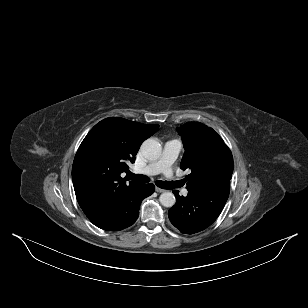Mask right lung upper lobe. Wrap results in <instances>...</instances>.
Listing matches in <instances>:
<instances>
[{
	"instance_id": "obj_1",
	"label": "right lung upper lobe",
	"mask_w": 308,
	"mask_h": 308,
	"mask_svg": "<svg viewBox=\"0 0 308 308\" xmlns=\"http://www.w3.org/2000/svg\"><path fill=\"white\" fill-rule=\"evenodd\" d=\"M159 126L119 117L97 123L76 153L72 180L77 201L91 222L116 217L142 184L121 177L143 140Z\"/></svg>"
}]
</instances>
